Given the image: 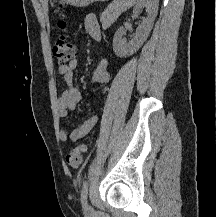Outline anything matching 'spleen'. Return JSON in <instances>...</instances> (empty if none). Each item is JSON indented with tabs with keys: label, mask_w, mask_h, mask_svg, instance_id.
Returning a JSON list of instances; mask_svg holds the SVG:
<instances>
[{
	"label": "spleen",
	"mask_w": 216,
	"mask_h": 217,
	"mask_svg": "<svg viewBox=\"0 0 216 217\" xmlns=\"http://www.w3.org/2000/svg\"><path fill=\"white\" fill-rule=\"evenodd\" d=\"M138 0H126V5L128 7L133 6Z\"/></svg>",
	"instance_id": "spleen-1"
}]
</instances>
